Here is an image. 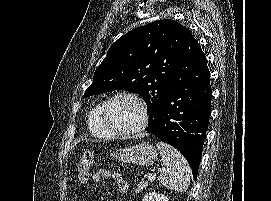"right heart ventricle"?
Returning a JSON list of instances; mask_svg holds the SVG:
<instances>
[{
  "instance_id": "1",
  "label": "right heart ventricle",
  "mask_w": 271,
  "mask_h": 201,
  "mask_svg": "<svg viewBox=\"0 0 271 201\" xmlns=\"http://www.w3.org/2000/svg\"><path fill=\"white\" fill-rule=\"evenodd\" d=\"M103 103H98L92 108L88 115V129L90 133L98 138H110L113 134L104 126L101 118Z\"/></svg>"
}]
</instances>
